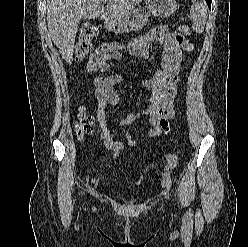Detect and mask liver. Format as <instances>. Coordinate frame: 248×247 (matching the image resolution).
Wrapping results in <instances>:
<instances>
[{
  "label": "liver",
  "mask_w": 248,
  "mask_h": 247,
  "mask_svg": "<svg viewBox=\"0 0 248 247\" xmlns=\"http://www.w3.org/2000/svg\"><path fill=\"white\" fill-rule=\"evenodd\" d=\"M111 18L127 16L136 11L142 0H108ZM105 0H47V24L53 43L68 64L73 61V48L82 18L94 19L104 14Z\"/></svg>",
  "instance_id": "liver-1"
}]
</instances>
